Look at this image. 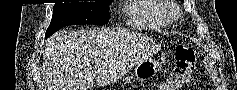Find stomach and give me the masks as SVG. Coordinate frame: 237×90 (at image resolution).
Returning <instances> with one entry per match:
<instances>
[{
  "instance_id": "0dacf381",
  "label": "stomach",
  "mask_w": 237,
  "mask_h": 90,
  "mask_svg": "<svg viewBox=\"0 0 237 90\" xmlns=\"http://www.w3.org/2000/svg\"><path fill=\"white\" fill-rule=\"evenodd\" d=\"M160 68V64L153 60H147L134 68L133 75L140 81L150 80L155 76Z\"/></svg>"
}]
</instances>
